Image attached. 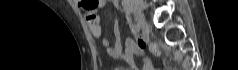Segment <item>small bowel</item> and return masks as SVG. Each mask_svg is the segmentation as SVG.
I'll use <instances>...</instances> for the list:
<instances>
[{
    "instance_id": "c3829d8e",
    "label": "small bowel",
    "mask_w": 238,
    "mask_h": 70,
    "mask_svg": "<svg viewBox=\"0 0 238 70\" xmlns=\"http://www.w3.org/2000/svg\"><path fill=\"white\" fill-rule=\"evenodd\" d=\"M114 4H117V1H113ZM106 3L105 0H78L77 4L84 10V16L90 32L96 38L102 36V27L101 21L96 13L97 8L102 7ZM114 35H115V45L110 47V42L107 38H102V44L107 48L108 54L114 59H123L126 58L130 62V70H151V61L148 58L142 60L141 68H138L134 62L133 56L140 55L143 53L144 48L146 47V41L144 39H139L138 42H135L132 39H127L125 42V47L123 48L121 43V37L118 29L117 23L114 25ZM119 70H128V69H119Z\"/></svg>"
}]
</instances>
